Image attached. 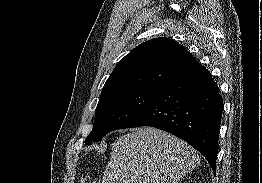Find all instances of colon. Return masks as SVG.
Returning <instances> with one entry per match:
<instances>
[{"label": "colon", "instance_id": "1", "mask_svg": "<svg viewBox=\"0 0 262 183\" xmlns=\"http://www.w3.org/2000/svg\"><path fill=\"white\" fill-rule=\"evenodd\" d=\"M79 183H97L95 180H93L91 177L89 176H83L81 179H80V182Z\"/></svg>", "mask_w": 262, "mask_h": 183}]
</instances>
